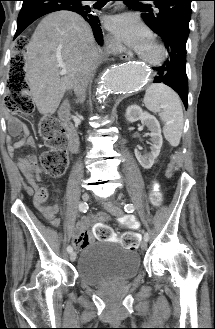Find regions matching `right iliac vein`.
Returning <instances> with one entry per match:
<instances>
[{"label":"right iliac vein","instance_id":"obj_1","mask_svg":"<svg viewBox=\"0 0 215 329\" xmlns=\"http://www.w3.org/2000/svg\"><path fill=\"white\" fill-rule=\"evenodd\" d=\"M89 198H90V196H89V194L88 193H83L82 194V199H83V201H88L89 200ZM76 252H74V251H72L71 253H70V260L72 261V262H74L75 260H76Z\"/></svg>","mask_w":215,"mask_h":329}]
</instances>
